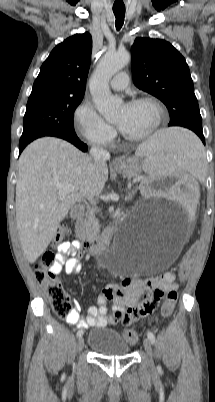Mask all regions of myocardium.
<instances>
[{"label": "myocardium", "instance_id": "f54148a6", "mask_svg": "<svg viewBox=\"0 0 215 402\" xmlns=\"http://www.w3.org/2000/svg\"><path fill=\"white\" fill-rule=\"evenodd\" d=\"M140 103H148L153 106V108L155 110V121H154V124L152 125V127L143 134L128 135V134L122 132V136L124 137V139L131 141V142L144 141V140L150 138L151 136H153L160 128V126L163 122L164 114H165L164 108H163L162 104L160 103V101L152 96H140V97L133 98L127 103V105H136V104H140Z\"/></svg>", "mask_w": 215, "mask_h": 402}]
</instances>
